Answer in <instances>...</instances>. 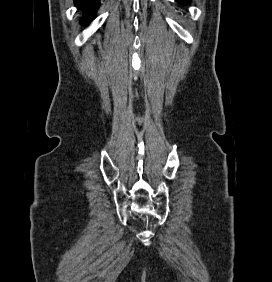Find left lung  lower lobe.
Wrapping results in <instances>:
<instances>
[{
    "instance_id": "left-lung-lower-lobe-1",
    "label": "left lung lower lobe",
    "mask_w": 272,
    "mask_h": 282,
    "mask_svg": "<svg viewBox=\"0 0 272 282\" xmlns=\"http://www.w3.org/2000/svg\"><path fill=\"white\" fill-rule=\"evenodd\" d=\"M176 1H178L180 3H188V2H190V0H176Z\"/></svg>"
}]
</instances>
